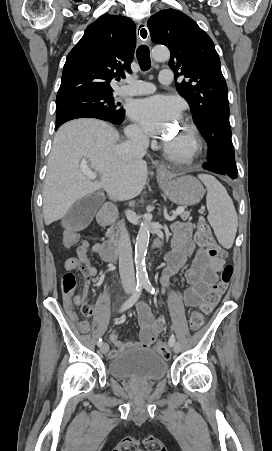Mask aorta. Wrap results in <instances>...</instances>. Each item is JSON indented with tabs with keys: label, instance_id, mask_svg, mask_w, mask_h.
Listing matches in <instances>:
<instances>
[{
	"label": "aorta",
	"instance_id": "aorta-1",
	"mask_svg": "<svg viewBox=\"0 0 272 451\" xmlns=\"http://www.w3.org/2000/svg\"><path fill=\"white\" fill-rule=\"evenodd\" d=\"M151 58L156 62H164L169 60L170 52L168 48H159L155 46L151 52ZM149 214H144V222L138 231L135 243V263H136V277L137 281H147L148 275L145 267V255L149 243Z\"/></svg>",
	"mask_w": 272,
	"mask_h": 451
}]
</instances>
